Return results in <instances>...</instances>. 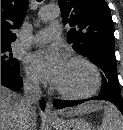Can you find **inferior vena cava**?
<instances>
[{
    "label": "inferior vena cava",
    "instance_id": "inferior-vena-cava-1",
    "mask_svg": "<svg viewBox=\"0 0 123 130\" xmlns=\"http://www.w3.org/2000/svg\"><path fill=\"white\" fill-rule=\"evenodd\" d=\"M41 89L38 83L24 82L23 108L21 113V126L19 130H30V117L34 110L33 105L41 98Z\"/></svg>",
    "mask_w": 123,
    "mask_h": 130
}]
</instances>
